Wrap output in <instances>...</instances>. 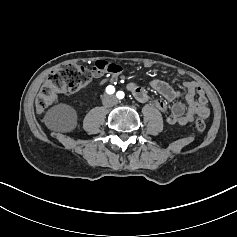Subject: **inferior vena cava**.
Returning <instances> with one entry per match:
<instances>
[{
  "instance_id": "602c4592",
  "label": "inferior vena cava",
  "mask_w": 237,
  "mask_h": 237,
  "mask_svg": "<svg viewBox=\"0 0 237 237\" xmlns=\"http://www.w3.org/2000/svg\"><path fill=\"white\" fill-rule=\"evenodd\" d=\"M107 99V97H105L103 100H106ZM115 100V99H114ZM116 101V100H115ZM103 104L104 105H107V106H112V105H114V103H111V104H105L104 102H103Z\"/></svg>"
}]
</instances>
